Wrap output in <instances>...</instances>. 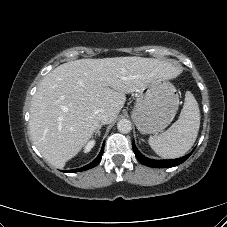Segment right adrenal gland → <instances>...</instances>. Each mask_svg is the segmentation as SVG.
Instances as JSON below:
<instances>
[{"label":"right adrenal gland","instance_id":"1","mask_svg":"<svg viewBox=\"0 0 227 227\" xmlns=\"http://www.w3.org/2000/svg\"><path fill=\"white\" fill-rule=\"evenodd\" d=\"M102 127V124L99 125V127L97 128V130L95 131V134L99 137L101 132H100V129Z\"/></svg>","mask_w":227,"mask_h":227}]
</instances>
